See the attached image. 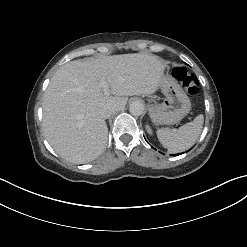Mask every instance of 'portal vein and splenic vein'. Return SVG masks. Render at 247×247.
<instances>
[{
    "instance_id": "18ae733b",
    "label": "portal vein and splenic vein",
    "mask_w": 247,
    "mask_h": 247,
    "mask_svg": "<svg viewBox=\"0 0 247 247\" xmlns=\"http://www.w3.org/2000/svg\"><path fill=\"white\" fill-rule=\"evenodd\" d=\"M100 85L102 86L103 90H104V95L108 96L110 95V89L107 87L106 83L104 81L100 82Z\"/></svg>"
}]
</instances>
